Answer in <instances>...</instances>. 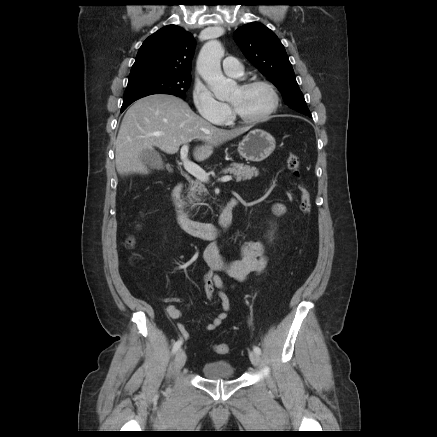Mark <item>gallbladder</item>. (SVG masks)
Returning a JSON list of instances; mask_svg holds the SVG:
<instances>
[{
	"instance_id": "bac80fb5",
	"label": "gallbladder",
	"mask_w": 437,
	"mask_h": 437,
	"mask_svg": "<svg viewBox=\"0 0 437 437\" xmlns=\"http://www.w3.org/2000/svg\"><path fill=\"white\" fill-rule=\"evenodd\" d=\"M142 160L152 169L161 170L164 168L160 155L154 150H147L142 153Z\"/></svg>"
}]
</instances>
